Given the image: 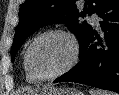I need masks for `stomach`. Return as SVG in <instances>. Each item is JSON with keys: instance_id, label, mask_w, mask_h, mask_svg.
<instances>
[{"instance_id": "stomach-1", "label": "stomach", "mask_w": 119, "mask_h": 95, "mask_svg": "<svg viewBox=\"0 0 119 95\" xmlns=\"http://www.w3.org/2000/svg\"><path fill=\"white\" fill-rule=\"evenodd\" d=\"M25 95H84L82 92L72 88L45 87L36 92H30Z\"/></svg>"}]
</instances>
